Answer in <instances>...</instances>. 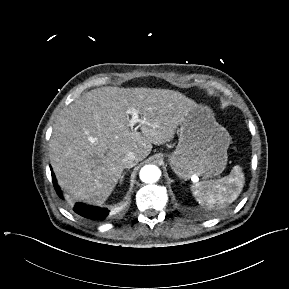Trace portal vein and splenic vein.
I'll return each instance as SVG.
<instances>
[{
    "instance_id": "18ae733b",
    "label": "portal vein and splenic vein",
    "mask_w": 289,
    "mask_h": 289,
    "mask_svg": "<svg viewBox=\"0 0 289 289\" xmlns=\"http://www.w3.org/2000/svg\"><path fill=\"white\" fill-rule=\"evenodd\" d=\"M127 113H129L132 116L129 121L130 127H133L136 123L141 122V120L139 119L138 111L136 109L131 108L127 111Z\"/></svg>"
}]
</instances>
